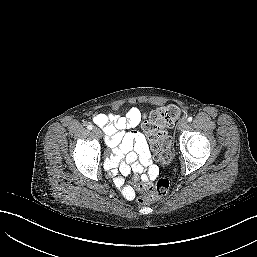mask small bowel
Wrapping results in <instances>:
<instances>
[{
  "mask_svg": "<svg viewBox=\"0 0 257 257\" xmlns=\"http://www.w3.org/2000/svg\"><path fill=\"white\" fill-rule=\"evenodd\" d=\"M145 117L138 108H130L124 116L96 114L93 122L104 131L106 142L112 149L106 160V169L115 177L114 181L127 199L135 194L125 185V178L134 170L143 181L156 177L158 171L152 162L151 153L144 136L137 131H127L137 126Z\"/></svg>",
  "mask_w": 257,
  "mask_h": 257,
  "instance_id": "small-bowel-1",
  "label": "small bowel"
}]
</instances>
